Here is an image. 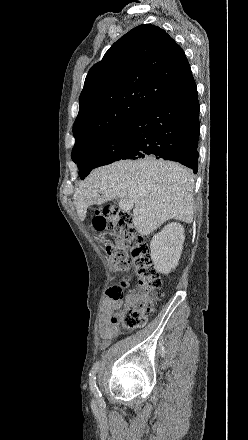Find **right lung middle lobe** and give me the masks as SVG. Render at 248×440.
I'll use <instances>...</instances> for the list:
<instances>
[{
  "label": "right lung middle lobe",
  "mask_w": 248,
  "mask_h": 440,
  "mask_svg": "<svg viewBox=\"0 0 248 440\" xmlns=\"http://www.w3.org/2000/svg\"><path fill=\"white\" fill-rule=\"evenodd\" d=\"M130 142V130L125 124L112 132L72 149V160L77 163L79 176L84 179L92 169L118 161Z\"/></svg>",
  "instance_id": "right-lung-middle-lobe-1"
}]
</instances>
